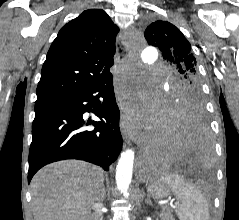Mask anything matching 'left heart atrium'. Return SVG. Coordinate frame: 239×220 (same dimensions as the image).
I'll return each mask as SVG.
<instances>
[{
	"label": "left heart atrium",
	"instance_id": "39dd6f15",
	"mask_svg": "<svg viewBox=\"0 0 239 220\" xmlns=\"http://www.w3.org/2000/svg\"><path fill=\"white\" fill-rule=\"evenodd\" d=\"M129 124L131 127L139 125V117L133 113L129 119Z\"/></svg>",
	"mask_w": 239,
	"mask_h": 220
}]
</instances>
